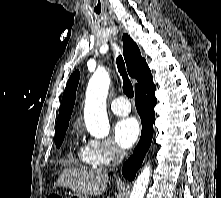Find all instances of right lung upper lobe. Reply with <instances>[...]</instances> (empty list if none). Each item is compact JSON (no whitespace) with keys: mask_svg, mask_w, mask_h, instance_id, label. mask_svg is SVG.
Wrapping results in <instances>:
<instances>
[{"mask_svg":"<svg viewBox=\"0 0 221 198\" xmlns=\"http://www.w3.org/2000/svg\"><path fill=\"white\" fill-rule=\"evenodd\" d=\"M123 54L129 75L138 81L135 85V90H137L144 86L152 78V75L145 59L141 57L138 46L127 34L123 35ZM79 78V71H75L67 82L56 122V131L69 125Z\"/></svg>","mask_w":221,"mask_h":198,"instance_id":"obj_1","label":"right lung upper lobe"}]
</instances>
